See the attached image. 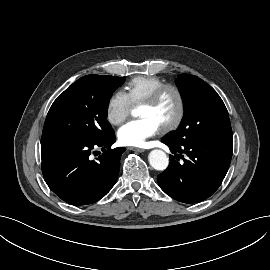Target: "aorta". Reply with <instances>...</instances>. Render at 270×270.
<instances>
[{
    "label": "aorta",
    "mask_w": 270,
    "mask_h": 270,
    "mask_svg": "<svg viewBox=\"0 0 270 270\" xmlns=\"http://www.w3.org/2000/svg\"><path fill=\"white\" fill-rule=\"evenodd\" d=\"M132 114H135V110L132 111ZM148 161L150 165L159 171H163L168 167L169 158L166 153L159 149H154L149 153Z\"/></svg>",
    "instance_id": "obj_1"
}]
</instances>
